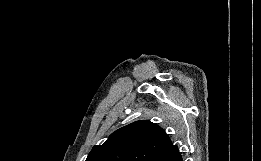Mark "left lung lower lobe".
Listing matches in <instances>:
<instances>
[{
    "instance_id": "obj_1",
    "label": "left lung lower lobe",
    "mask_w": 261,
    "mask_h": 161,
    "mask_svg": "<svg viewBox=\"0 0 261 161\" xmlns=\"http://www.w3.org/2000/svg\"><path fill=\"white\" fill-rule=\"evenodd\" d=\"M152 161H183L176 145H169L160 151Z\"/></svg>"
}]
</instances>
